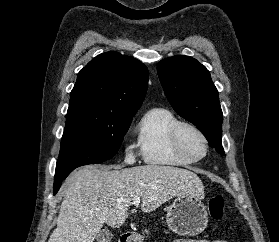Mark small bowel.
Masks as SVG:
<instances>
[{
    "mask_svg": "<svg viewBox=\"0 0 279 242\" xmlns=\"http://www.w3.org/2000/svg\"><path fill=\"white\" fill-rule=\"evenodd\" d=\"M173 242H228L225 239H214L211 241L208 240H189V239H180V240H175Z\"/></svg>",
    "mask_w": 279,
    "mask_h": 242,
    "instance_id": "c3829d8e",
    "label": "small bowel"
}]
</instances>
